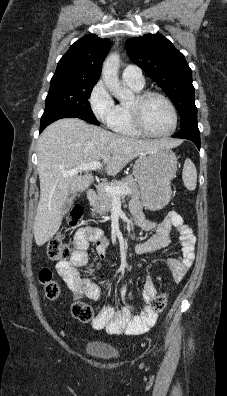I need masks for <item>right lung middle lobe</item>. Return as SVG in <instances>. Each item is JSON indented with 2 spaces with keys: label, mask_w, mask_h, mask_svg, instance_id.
Here are the masks:
<instances>
[{
  "label": "right lung middle lobe",
  "mask_w": 227,
  "mask_h": 396,
  "mask_svg": "<svg viewBox=\"0 0 227 396\" xmlns=\"http://www.w3.org/2000/svg\"><path fill=\"white\" fill-rule=\"evenodd\" d=\"M97 80L56 75L51 79L46 97L44 114L58 111H69L77 114L88 123L99 125L88 99Z\"/></svg>",
  "instance_id": "1"
}]
</instances>
